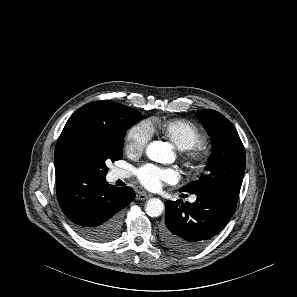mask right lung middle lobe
<instances>
[{"mask_svg": "<svg viewBox=\"0 0 297 297\" xmlns=\"http://www.w3.org/2000/svg\"><path fill=\"white\" fill-rule=\"evenodd\" d=\"M122 129L112 136L80 134L71 142L68 157L73 171L85 172L98 177H105L107 163L122 158L123 137L125 131L144 116L133 108L121 106Z\"/></svg>", "mask_w": 297, "mask_h": 297, "instance_id": "1", "label": "right lung middle lobe"}]
</instances>
